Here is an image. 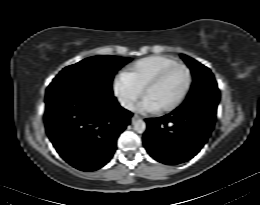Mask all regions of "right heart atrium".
Wrapping results in <instances>:
<instances>
[{
	"mask_svg": "<svg viewBox=\"0 0 260 205\" xmlns=\"http://www.w3.org/2000/svg\"><path fill=\"white\" fill-rule=\"evenodd\" d=\"M113 90L121 105L126 109H131L142 94V90L127 80L124 74L115 79Z\"/></svg>",
	"mask_w": 260,
	"mask_h": 205,
	"instance_id": "d8ad5b80",
	"label": "right heart atrium"
}]
</instances>
